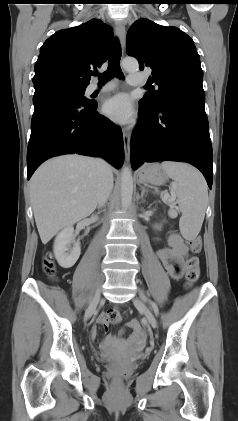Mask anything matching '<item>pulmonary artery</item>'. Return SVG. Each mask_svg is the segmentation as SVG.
I'll list each match as a JSON object with an SVG mask.
<instances>
[{
  "label": "pulmonary artery",
  "mask_w": 238,
  "mask_h": 421,
  "mask_svg": "<svg viewBox=\"0 0 238 421\" xmlns=\"http://www.w3.org/2000/svg\"><path fill=\"white\" fill-rule=\"evenodd\" d=\"M128 83L130 85H140L143 83V77L140 73H131L128 77ZM115 88V83L113 82H109L105 85L99 86L96 82L91 83L88 88H87V92L88 93H93V92H108L111 91Z\"/></svg>",
  "instance_id": "obj_1"
}]
</instances>
